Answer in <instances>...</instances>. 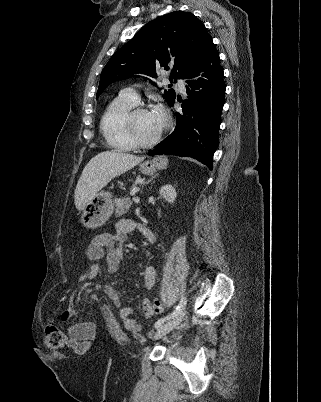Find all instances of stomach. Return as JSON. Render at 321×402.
<instances>
[{"label":"stomach","instance_id":"0dacf381","mask_svg":"<svg viewBox=\"0 0 321 402\" xmlns=\"http://www.w3.org/2000/svg\"><path fill=\"white\" fill-rule=\"evenodd\" d=\"M168 160L157 156L140 164L143 174L152 175L156 170L166 168ZM114 203L110 192L97 193L83 208L81 221L87 228L95 229L102 226L112 215Z\"/></svg>","mask_w":321,"mask_h":402}]
</instances>
